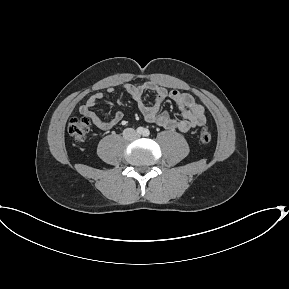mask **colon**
Masks as SVG:
<instances>
[{
	"mask_svg": "<svg viewBox=\"0 0 289 289\" xmlns=\"http://www.w3.org/2000/svg\"><path fill=\"white\" fill-rule=\"evenodd\" d=\"M90 131V120L86 117H74L68 123V132L77 143H83ZM212 139L210 130L203 127L199 131V140L209 143Z\"/></svg>",
	"mask_w": 289,
	"mask_h": 289,
	"instance_id": "colon-1",
	"label": "colon"
}]
</instances>
